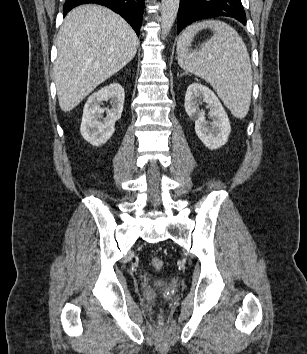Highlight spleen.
<instances>
[{"instance_id":"obj_1","label":"spleen","mask_w":307,"mask_h":354,"mask_svg":"<svg viewBox=\"0 0 307 354\" xmlns=\"http://www.w3.org/2000/svg\"><path fill=\"white\" fill-rule=\"evenodd\" d=\"M206 28L213 31V36L191 52L194 36ZM177 59L182 69L211 84L234 117H246L253 75L246 45L235 29L214 20L188 26L178 38Z\"/></svg>"}]
</instances>
